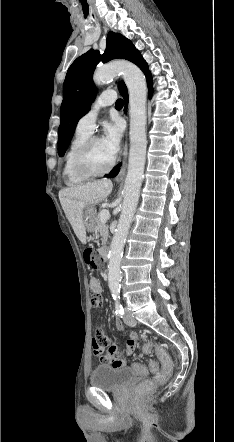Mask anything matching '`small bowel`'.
<instances>
[{"mask_svg":"<svg viewBox=\"0 0 234 442\" xmlns=\"http://www.w3.org/2000/svg\"><path fill=\"white\" fill-rule=\"evenodd\" d=\"M96 282H97V290L99 292H102V286L100 282L98 280H96ZM115 325L118 330H123V324L120 320H116ZM104 331L105 328L103 323L101 322L96 323L93 334L95 336L94 342L98 344H95L93 342V352L95 355L100 356L101 361L104 362L102 364V367L104 369H111L112 366H115L114 361L116 359V356L119 354V348L117 342H111V343L109 342L108 337L105 336L104 334ZM135 341H136L135 336H132L127 341V347L125 350L126 356H129L134 351ZM104 350H106L105 353ZM121 364L122 366H126L127 362L125 358H121ZM116 367H119V364H116Z\"/></svg>","mask_w":234,"mask_h":442,"instance_id":"obj_1","label":"small bowel"}]
</instances>
